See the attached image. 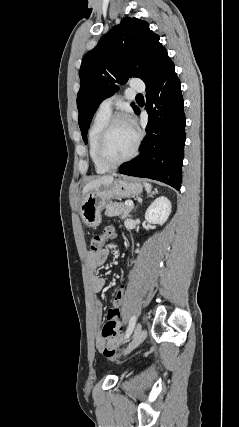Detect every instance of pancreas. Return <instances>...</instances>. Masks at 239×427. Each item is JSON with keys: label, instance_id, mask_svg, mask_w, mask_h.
Listing matches in <instances>:
<instances>
[{"label": "pancreas", "instance_id": "obj_1", "mask_svg": "<svg viewBox=\"0 0 239 427\" xmlns=\"http://www.w3.org/2000/svg\"><path fill=\"white\" fill-rule=\"evenodd\" d=\"M132 207L123 203L111 202L106 205L105 215L108 217L120 216L121 219L129 217Z\"/></svg>", "mask_w": 239, "mask_h": 427}]
</instances>
